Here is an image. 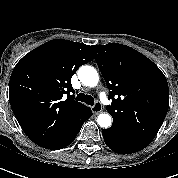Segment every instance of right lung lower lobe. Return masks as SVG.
<instances>
[{"instance_id":"1","label":"right lung lower lobe","mask_w":178,"mask_h":178,"mask_svg":"<svg viewBox=\"0 0 178 178\" xmlns=\"http://www.w3.org/2000/svg\"><path fill=\"white\" fill-rule=\"evenodd\" d=\"M92 115L91 111H88L85 115L84 121L83 123ZM83 123L81 124V126L74 131L73 134H71V136H69L68 138L62 140V141H58V142H54V143H50V144H46V145H42L41 147L47 148V149H61L66 147L67 145H69L70 143H72V141L76 138L77 134L79 133Z\"/></svg>"}]
</instances>
